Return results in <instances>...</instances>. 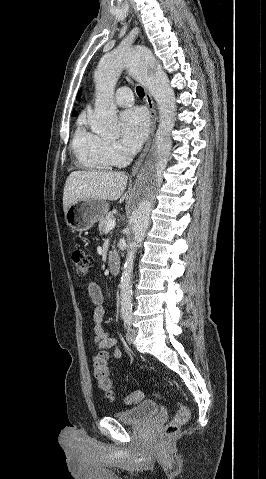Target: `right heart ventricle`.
I'll return each instance as SVG.
<instances>
[{
	"instance_id": "obj_1",
	"label": "right heart ventricle",
	"mask_w": 266,
	"mask_h": 479,
	"mask_svg": "<svg viewBox=\"0 0 266 479\" xmlns=\"http://www.w3.org/2000/svg\"><path fill=\"white\" fill-rule=\"evenodd\" d=\"M102 143L103 138L88 132L84 127V120L80 119L73 137L72 149L81 167L106 171L113 166L102 150Z\"/></svg>"
}]
</instances>
